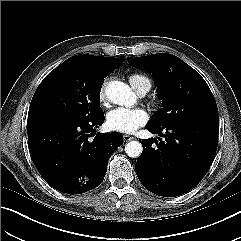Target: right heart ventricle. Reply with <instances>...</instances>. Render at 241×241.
Returning a JSON list of instances; mask_svg holds the SVG:
<instances>
[{
  "label": "right heart ventricle",
  "mask_w": 241,
  "mask_h": 241,
  "mask_svg": "<svg viewBox=\"0 0 241 241\" xmlns=\"http://www.w3.org/2000/svg\"><path fill=\"white\" fill-rule=\"evenodd\" d=\"M128 80L133 89L138 93L141 89L151 87V80L144 74L133 73L128 76Z\"/></svg>",
  "instance_id": "right-heart-ventricle-1"
}]
</instances>
